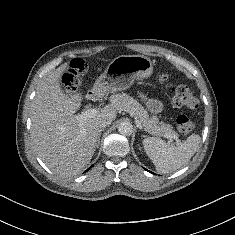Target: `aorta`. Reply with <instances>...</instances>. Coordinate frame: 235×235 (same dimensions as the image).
I'll list each match as a JSON object with an SVG mask.
<instances>
[{"instance_id":"1","label":"aorta","mask_w":235,"mask_h":235,"mask_svg":"<svg viewBox=\"0 0 235 235\" xmlns=\"http://www.w3.org/2000/svg\"><path fill=\"white\" fill-rule=\"evenodd\" d=\"M118 131L121 135L129 136L133 132V126L130 122H121L118 126Z\"/></svg>"}]
</instances>
